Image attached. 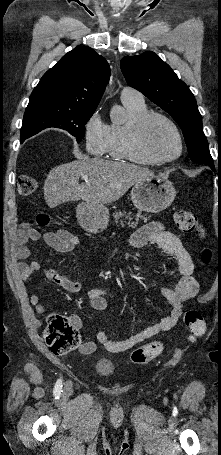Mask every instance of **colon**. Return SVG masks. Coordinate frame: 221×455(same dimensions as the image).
I'll use <instances>...</instances> for the list:
<instances>
[{
	"instance_id": "obj_1",
	"label": "colon",
	"mask_w": 221,
	"mask_h": 455,
	"mask_svg": "<svg viewBox=\"0 0 221 455\" xmlns=\"http://www.w3.org/2000/svg\"><path fill=\"white\" fill-rule=\"evenodd\" d=\"M39 187L36 178L22 176L18 180L17 191L21 196H28L34 193ZM37 225L46 226L49 218L45 214H39L36 218ZM177 227L186 233L203 235L204 230L198 217L190 211H179L175 214ZM212 258L210 249H205L201 255L204 263H209ZM184 323L190 330L192 336H202L206 330V323L203 315L197 310H188L184 314ZM47 345L54 353H66L75 349L80 344L78 329L72 324L71 319L65 315L54 314L48 318V326L44 333ZM163 351V344L159 341L148 343L135 349L131 355L132 361L136 364H145Z\"/></svg>"
}]
</instances>
